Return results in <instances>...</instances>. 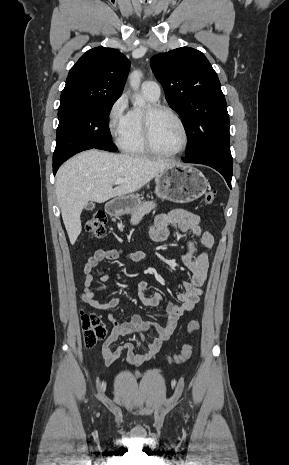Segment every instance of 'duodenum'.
<instances>
[{
	"label": "duodenum",
	"instance_id": "duodenum-1",
	"mask_svg": "<svg viewBox=\"0 0 289 465\" xmlns=\"http://www.w3.org/2000/svg\"><path fill=\"white\" fill-rule=\"evenodd\" d=\"M116 211H117V208L114 207V206H111V207L108 209V212H109L110 214H114Z\"/></svg>",
	"mask_w": 289,
	"mask_h": 465
}]
</instances>
